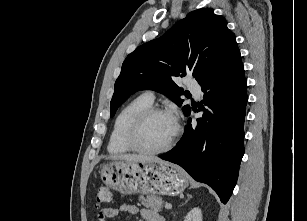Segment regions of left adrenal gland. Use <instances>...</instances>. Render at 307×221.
Listing matches in <instances>:
<instances>
[{
    "mask_svg": "<svg viewBox=\"0 0 307 221\" xmlns=\"http://www.w3.org/2000/svg\"><path fill=\"white\" fill-rule=\"evenodd\" d=\"M192 198V196L191 195H188V199L185 201V202H187L188 200H190Z\"/></svg>",
    "mask_w": 307,
    "mask_h": 221,
    "instance_id": "1",
    "label": "left adrenal gland"
}]
</instances>
